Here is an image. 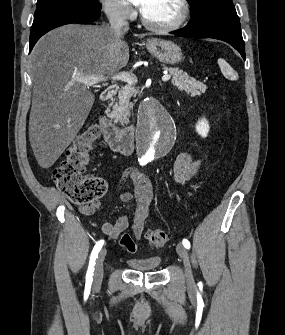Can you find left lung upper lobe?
<instances>
[{
	"label": "left lung upper lobe",
	"instance_id": "5c2ea615",
	"mask_svg": "<svg viewBox=\"0 0 285 335\" xmlns=\"http://www.w3.org/2000/svg\"><path fill=\"white\" fill-rule=\"evenodd\" d=\"M191 6V16L209 5H233L232 0H187Z\"/></svg>",
	"mask_w": 285,
	"mask_h": 335
}]
</instances>
